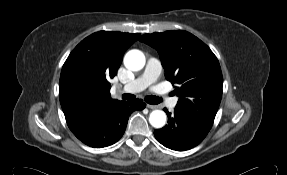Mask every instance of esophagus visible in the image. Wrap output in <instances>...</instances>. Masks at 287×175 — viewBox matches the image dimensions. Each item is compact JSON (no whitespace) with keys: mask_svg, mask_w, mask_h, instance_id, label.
Instances as JSON below:
<instances>
[{"mask_svg":"<svg viewBox=\"0 0 287 175\" xmlns=\"http://www.w3.org/2000/svg\"><path fill=\"white\" fill-rule=\"evenodd\" d=\"M146 106L148 107V108H150V109H157V108H159V106H157V105H151V104H146Z\"/></svg>","mask_w":287,"mask_h":175,"instance_id":"34e87169","label":"esophagus"}]
</instances>
